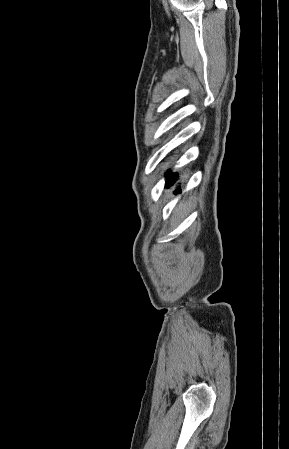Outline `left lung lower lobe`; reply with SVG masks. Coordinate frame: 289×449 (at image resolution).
I'll use <instances>...</instances> for the list:
<instances>
[{"label": "left lung lower lobe", "mask_w": 289, "mask_h": 449, "mask_svg": "<svg viewBox=\"0 0 289 449\" xmlns=\"http://www.w3.org/2000/svg\"><path fill=\"white\" fill-rule=\"evenodd\" d=\"M165 176L167 177L166 187H170L171 185H173V183L176 181V178L178 177L177 174L171 173L170 170L165 174ZM177 192H181L180 187H178Z\"/></svg>", "instance_id": "1"}]
</instances>
